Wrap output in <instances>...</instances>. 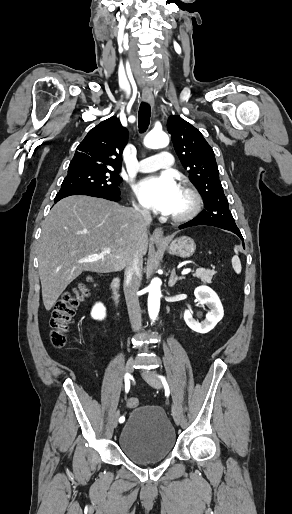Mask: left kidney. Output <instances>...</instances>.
I'll use <instances>...</instances> for the list:
<instances>
[{
	"label": "left kidney",
	"instance_id": "5707ae66",
	"mask_svg": "<svg viewBox=\"0 0 292 514\" xmlns=\"http://www.w3.org/2000/svg\"><path fill=\"white\" fill-rule=\"evenodd\" d=\"M195 298H197L200 304H205L207 308H209L205 320L202 322H196L191 314V308L189 310H185L184 312V320L194 332H198V334H207L210 330L215 328L216 324L222 320L224 316L223 306L215 292L208 288V286H199L196 288Z\"/></svg>",
	"mask_w": 292,
	"mask_h": 514
}]
</instances>
